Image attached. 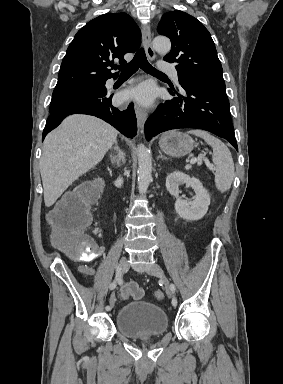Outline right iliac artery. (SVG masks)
<instances>
[{
    "mask_svg": "<svg viewBox=\"0 0 283 384\" xmlns=\"http://www.w3.org/2000/svg\"><path fill=\"white\" fill-rule=\"evenodd\" d=\"M121 275L122 274L120 272V269L117 268L116 277H115L114 281L109 285L110 290H113V289L116 288L117 282L121 281ZM106 310L107 311L111 310V307L110 306H106Z\"/></svg>",
    "mask_w": 283,
    "mask_h": 384,
    "instance_id": "1",
    "label": "right iliac artery"
}]
</instances>
